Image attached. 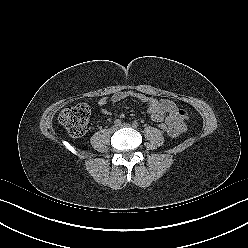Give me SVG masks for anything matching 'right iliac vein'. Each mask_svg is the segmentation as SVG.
Returning a JSON list of instances; mask_svg holds the SVG:
<instances>
[{
	"instance_id": "right-iliac-vein-1",
	"label": "right iliac vein",
	"mask_w": 248,
	"mask_h": 248,
	"mask_svg": "<svg viewBox=\"0 0 248 248\" xmlns=\"http://www.w3.org/2000/svg\"><path fill=\"white\" fill-rule=\"evenodd\" d=\"M117 126H112L111 128H110V132L111 133H114L116 130H117Z\"/></svg>"
}]
</instances>
